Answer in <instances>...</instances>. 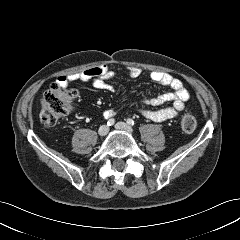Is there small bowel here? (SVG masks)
I'll list each match as a JSON object with an SVG mask.
<instances>
[{
	"instance_id": "obj_1",
	"label": "small bowel",
	"mask_w": 240,
	"mask_h": 240,
	"mask_svg": "<svg viewBox=\"0 0 240 240\" xmlns=\"http://www.w3.org/2000/svg\"><path fill=\"white\" fill-rule=\"evenodd\" d=\"M128 70L131 77H138L141 73L136 67H130ZM113 78L114 73L107 65H98L79 72L62 75L57 78L56 84L66 87L72 82H91L97 89L114 92L115 87L110 83ZM150 78L153 83L169 87L171 91L143 101L140 106V112L146 118L156 122L176 117L184 110L185 102L189 98V92L185 89L181 80L168 73L153 71L150 74ZM166 103H170V105L161 107ZM104 115L105 117H111L114 115V110L108 109L104 112Z\"/></svg>"
}]
</instances>
